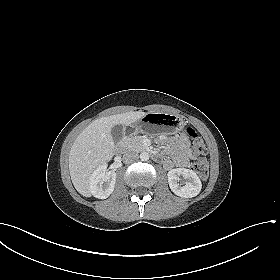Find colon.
I'll return each mask as SVG.
<instances>
[{"label": "colon", "instance_id": "colon-1", "mask_svg": "<svg viewBox=\"0 0 280 280\" xmlns=\"http://www.w3.org/2000/svg\"><path fill=\"white\" fill-rule=\"evenodd\" d=\"M185 135L191 142V147L194 153L197 155H205L207 152V146L202 137L191 127L185 129ZM194 171L200 178L206 179L209 174V163L204 157H200L193 164Z\"/></svg>", "mask_w": 280, "mask_h": 280}]
</instances>
